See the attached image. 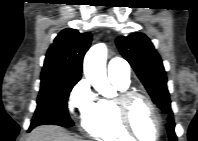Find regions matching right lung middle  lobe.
I'll use <instances>...</instances> for the list:
<instances>
[{"label":"right lung middle lobe","mask_w":198,"mask_h":141,"mask_svg":"<svg viewBox=\"0 0 198 141\" xmlns=\"http://www.w3.org/2000/svg\"><path fill=\"white\" fill-rule=\"evenodd\" d=\"M80 80L75 77H41L37 108L29 129L42 124L73 126L67 110V100L74 85Z\"/></svg>","instance_id":"1"}]
</instances>
